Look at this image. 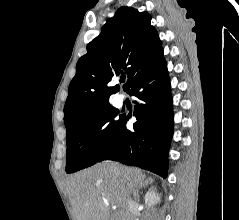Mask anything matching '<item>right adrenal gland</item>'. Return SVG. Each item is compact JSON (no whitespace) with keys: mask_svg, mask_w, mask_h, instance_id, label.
Segmentation results:
<instances>
[{"mask_svg":"<svg viewBox=\"0 0 239 220\" xmlns=\"http://www.w3.org/2000/svg\"><path fill=\"white\" fill-rule=\"evenodd\" d=\"M153 180L151 178L143 180L140 184L139 187L134 191L133 195L135 200H139V190L142 189L143 187H147L149 184H152Z\"/></svg>","mask_w":239,"mask_h":220,"instance_id":"right-adrenal-gland-1","label":"right adrenal gland"}]
</instances>
